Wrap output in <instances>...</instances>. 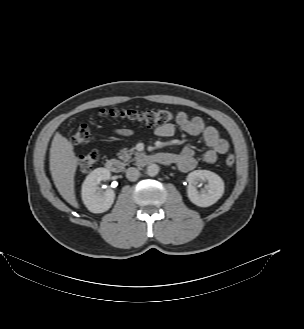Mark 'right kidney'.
<instances>
[{
    "label": "right kidney",
    "mask_w": 304,
    "mask_h": 329,
    "mask_svg": "<svg viewBox=\"0 0 304 329\" xmlns=\"http://www.w3.org/2000/svg\"><path fill=\"white\" fill-rule=\"evenodd\" d=\"M110 178V171L106 168L93 170L82 184V200L87 209L92 213L107 211L114 202L115 193L112 189L104 192L99 190L98 184Z\"/></svg>",
    "instance_id": "right-kidney-1"
}]
</instances>
